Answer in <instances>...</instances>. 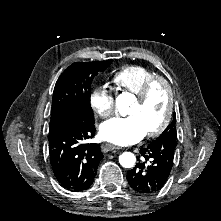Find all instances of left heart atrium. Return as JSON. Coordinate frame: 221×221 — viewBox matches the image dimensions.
Listing matches in <instances>:
<instances>
[{
	"label": "left heart atrium",
	"mask_w": 221,
	"mask_h": 221,
	"mask_svg": "<svg viewBox=\"0 0 221 221\" xmlns=\"http://www.w3.org/2000/svg\"><path fill=\"white\" fill-rule=\"evenodd\" d=\"M99 132L103 140L117 145L133 144L146 134L138 120L132 116L112 118L100 126Z\"/></svg>",
	"instance_id": "39dd6f15"
}]
</instances>
